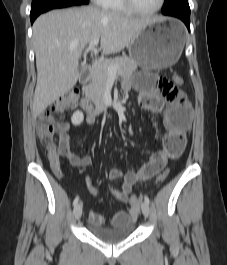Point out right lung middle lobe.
Returning a JSON list of instances; mask_svg holds the SVG:
<instances>
[{"instance_id": "1", "label": "right lung middle lobe", "mask_w": 227, "mask_h": 265, "mask_svg": "<svg viewBox=\"0 0 227 265\" xmlns=\"http://www.w3.org/2000/svg\"><path fill=\"white\" fill-rule=\"evenodd\" d=\"M66 2H82L87 4L89 0H32L30 16L39 15L51 8Z\"/></svg>"}]
</instances>
